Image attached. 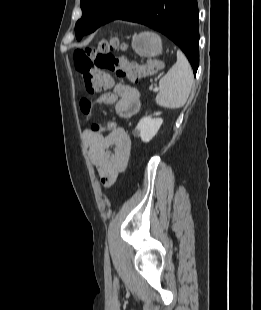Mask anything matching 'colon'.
Masks as SVG:
<instances>
[{
	"mask_svg": "<svg viewBox=\"0 0 261 310\" xmlns=\"http://www.w3.org/2000/svg\"><path fill=\"white\" fill-rule=\"evenodd\" d=\"M123 48L124 44L117 37H111L100 39L95 46L78 49L73 53L75 69L82 76L88 93L108 90L112 85L109 72L136 82L160 68L161 64L158 60L140 65L113 53L114 50ZM91 129L100 131L102 127L95 124Z\"/></svg>",
	"mask_w": 261,
	"mask_h": 310,
	"instance_id": "colon-1",
	"label": "colon"
}]
</instances>
